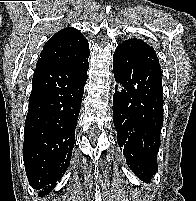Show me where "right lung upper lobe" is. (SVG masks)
Returning a JSON list of instances; mask_svg holds the SVG:
<instances>
[{"instance_id":"cb5924a9","label":"right lung upper lobe","mask_w":196,"mask_h":201,"mask_svg":"<svg viewBox=\"0 0 196 201\" xmlns=\"http://www.w3.org/2000/svg\"><path fill=\"white\" fill-rule=\"evenodd\" d=\"M89 43L75 28H64L43 47L36 70L53 66L82 65L88 61Z\"/></svg>"}]
</instances>
